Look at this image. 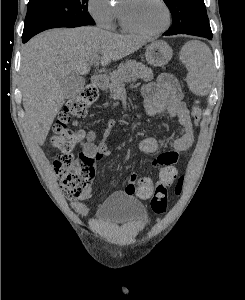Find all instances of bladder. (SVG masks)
<instances>
[{"label": "bladder", "mask_w": 245, "mask_h": 300, "mask_svg": "<svg viewBox=\"0 0 245 300\" xmlns=\"http://www.w3.org/2000/svg\"><path fill=\"white\" fill-rule=\"evenodd\" d=\"M95 219L103 224L133 223L146 228L149 216L144 205L132 195L115 193L97 209Z\"/></svg>", "instance_id": "bladder-1"}]
</instances>
